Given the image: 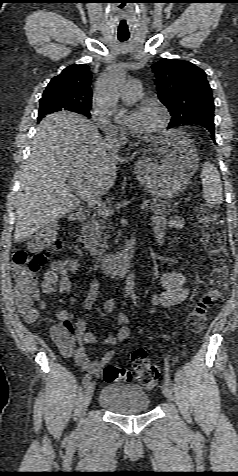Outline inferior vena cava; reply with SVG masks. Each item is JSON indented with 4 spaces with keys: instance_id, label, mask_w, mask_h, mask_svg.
Here are the masks:
<instances>
[{
    "instance_id": "1",
    "label": "inferior vena cava",
    "mask_w": 238,
    "mask_h": 476,
    "mask_svg": "<svg viewBox=\"0 0 238 476\" xmlns=\"http://www.w3.org/2000/svg\"><path fill=\"white\" fill-rule=\"evenodd\" d=\"M106 145L111 152L117 153L119 151L120 143L118 138L113 133H107L105 138Z\"/></svg>"
}]
</instances>
